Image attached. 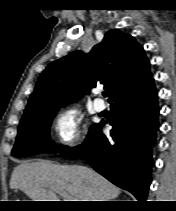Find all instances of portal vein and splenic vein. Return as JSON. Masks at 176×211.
Masks as SVG:
<instances>
[{"label": "portal vein and splenic vein", "mask_w": 176, "mask_h": 211, "mask_svg": "<svg viewBox=\"0 0 176 211\" xmlns=\"http://www.w3.org/2000/svg\"><path fill=\"white\" fill-rule=\"evenodd\" d=\"M56 193L62 196L65 201H78V199L70 196L66 191L64 190H56Z\"/></svg>", "instance_id": "obj_1"}]
</instances>
